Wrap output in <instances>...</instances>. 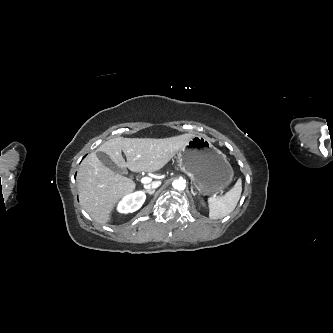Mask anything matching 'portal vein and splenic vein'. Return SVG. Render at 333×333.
Wrapping results in <instances>:
<instances>
[{"instance_id":"obj_1","label":"portal vein and splenic vein","mask_w":333,"mask_h":333,"mask_svg":"<svg viewBox=\"0 0 333 333\" xmlns=\"http://www.w3.org/2000/svg\"><path fill=\"white\" fill-rule=\"evenodd\" d=\"M140 181H141L142 184H148V183L151 182V178L150 177H143V178H141Z\"/></svg>"}]
</instances>
